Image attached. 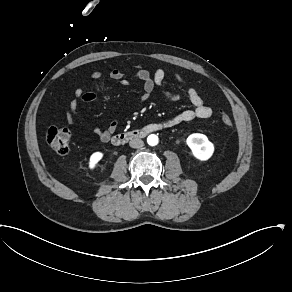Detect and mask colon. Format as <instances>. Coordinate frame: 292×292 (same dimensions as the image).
I'll return each instance as SVG.
<instances>
[{
  "mask_svg": "<svg viewBox=\"0 0 292 292\" xmlns=\"http://www.w3.org/2000/svg\"><path fill=\"white\" fill-rule=\"evenodd\" d=\"M216 112L221 119V122L229 129L234 128V124L223 107L218 106ZM71 139V134L67 129L52 127L46 133V140L49 148L55 154H65L68 152V147Z\"/></svg>",
  "mask_w": 292,
  "mask_h": 292,
  "instance_id": "1",
  "label": "colon"
}]
</instances>
